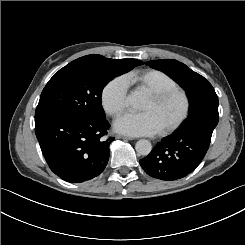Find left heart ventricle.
I'll return each mask as SVG.
<instances>
[{
	"mask_svg": "<svg viewBox=\"0 0 245 245\" xmlns=\"http://www.w3.org/2000/svg\"><path fill=\"white\" fill-rule=\"evenodd\" d=\"M181 100L174 97L163 104H156L154 100L146 94L141 111L151 112L159 121L161 127L174 119L181 111Z\"/></svg>",
	"mask_w": 245,
	"mask_h": 245,
	"instance_id": "left-heart-ventricle-1",
	"label": "left heart ventricle"
}]
</instances>
